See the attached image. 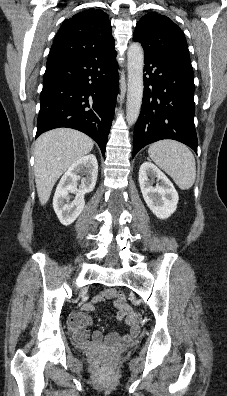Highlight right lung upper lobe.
<instances>
[{"mask_svg": "<svg viewBox=\"0 0 227 396\" xmlns=\"http://www.w3.org/2000/svg\"><path fill=\"white\" fill-rule=\"evenodd\" d=\"M108 15L88 9L63 21L50 49L47 65L86 57L114 47Z\"/></svg>", "mask_w": 227, "mask_h": 396, "instance_id": "cb5924a9", "label": "right lung upper lobe"}]
</instances>
